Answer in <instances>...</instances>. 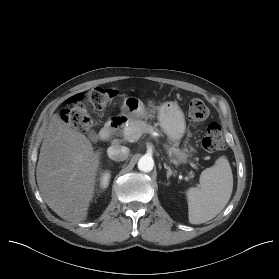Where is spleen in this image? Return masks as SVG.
<instances>
[{
  "mask_svg": "<svg viewBox=\"0 0 279 279\" xmlns=\"http://www.w3.org/2000/svg\"><path fill=\"white\" fill-rule=\"evenodd\" d=\"M199 181L198 187L186 192L191 224H201L213 219L229 202L233 175L227 159L220 157L215 165L203 170Z\"/></svg>",
  "mask_w": 279,
  "mask_h": 279,
  "instance_id": "1",
  "label": "spleen"
}]
</instances>
